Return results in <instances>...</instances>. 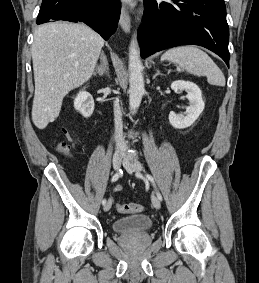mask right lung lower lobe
I'll return each instance as SVG.
<instances>
[{"instance_id": "1", "label": "right lung lower lobe", "mask_w": 259, "mask_h": 283, "mask_svg": "<svg viewBox=\"0 0 259 283\" xmlns=\"http://www.w3.org/2000/svg\"><path fill=\"white\" fill-rule=\"evenodd\" d=\"M120 10L119 0H43L37 24L52 19L80 21L108 40L117 29Z\"/></svg>"}]
</instances>
